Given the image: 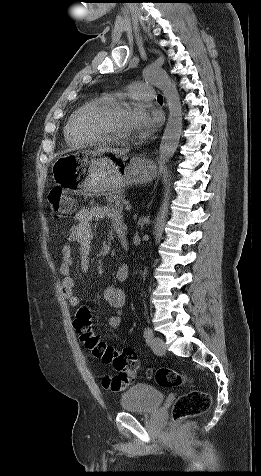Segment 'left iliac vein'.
<instances>
[{"label":"left iliac vein","instance_id":"1","mask_svg":"<svg viewBox=\"0 0 261 476\" xmlns=\"http://www.w3.org/2000/svg\"><path fill=\"white\" fill-rule=\"evenodd\" d=\"M151 348L155 354L162 355L166 352L164 341L159 337H154L151 340Z\"/></svg>","mask_w":261,"mask_h":476}]
</instances>
